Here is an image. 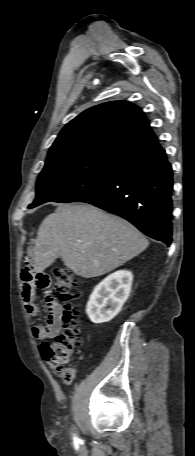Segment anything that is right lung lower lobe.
<instances>
[{"mask_svg": "<svg viewBox=\"0 0 195 456\" xmlns=\"http://www.w3.org/2000/svg\"><path fill=\"white\" fill-rule=\"evenodd\" d=\"M173 173L164 149L123 166L110 180L78 198L117 214L168 246L172 241Z\"/></svg>", "mask_w": 195, "mask_h": 456, "instance_id": "1", "label": "right lung lower lobe"}]
</instances>
